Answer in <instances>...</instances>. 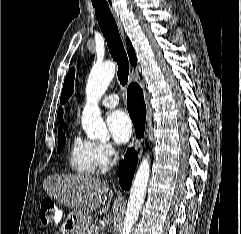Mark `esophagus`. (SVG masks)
I'll return each mask as SVG.
<instances>
[{"label":"esophagus","mask_w":241,"mask_h":234,"mask_svg":"<svg viewBox=\"0 0 241 234\" xmlns=\"http://www.w3.org/2000/svg\"><path fill=\"white\" fill-rule=\"evenodd\" d=\"M109 3H111L110 0H109ZM111 10L114 13L113 8H111ZM114 15H115V13H114ZM115 18H116V22H117L118 28L120 30V34H121L122 38L124 39L125 38V34H124L122 23H121V21L117 17H115Z\"/></svg>","instance_id":"obj_1"}]
</instances>
